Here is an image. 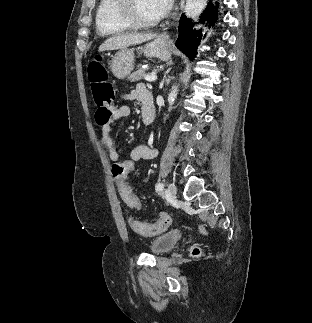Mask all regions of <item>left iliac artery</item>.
I'll use <instances>...</instances> for the list:
<instances>
[{"label": "left iliac artery", "mask_w": 312, "mask_h": 323, "mask_svg": "<svg viewBox=\"0 0 312 323\" xmlns=\"http://www.w3.org/2000/svg\"><path fill=\"white\" fill-rule=\"evenodd\" d=\"M163 187H164L163 183L159 182V183L156 184L155 189H156L157 192H160V191L163 190Z\"/></svg>", "instance_id": "44dca946"}]
</instances>
